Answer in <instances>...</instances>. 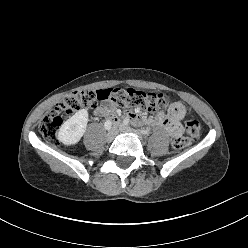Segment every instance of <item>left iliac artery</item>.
Returning <instances> with one entry per match:
<instances>
[{
	"label": "left iliac artery",
	"instance_id": "obj_1",
	"mask_svg": "<svg viewBox=\"0 0 248 248\" xmlns=\"http://www.w3.org/2000/svg\"><path fill=\"white\" fill-rule=\"evenodd\" d=\"M123 123H124L125 125H131L129 119H125V120L123 121ZM136 131H138V132H140V133H142V134H144V135H149V133H150L149 131H147V130H142V129H137Z\"/></svg>",
	"mask_w": 248,
	"mask_h": 248
}]
</instances>
